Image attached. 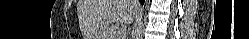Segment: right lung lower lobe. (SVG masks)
<instances>
[{
    "label": "right lung lower lobe",
    "instance_id": "1",
    "mask_svg": "<svg viewBox=\"0 0 249 39\" xmlns=\"http://www.w3.org/2000/svg\"><path fill=\"white\" fill-rule=\"evenodd\" d=\"M140 2L143 4V3H144V0H140Z\"/></svg>",
    "mask_w": 249,
    "mask_h": 39
}]
</instances>
